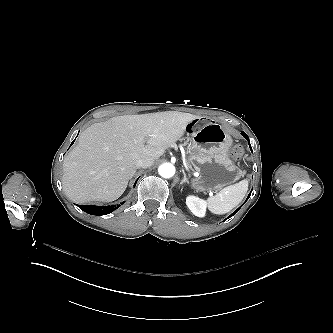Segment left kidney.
<instances>
[{
    "label": "left kidney",
    "instance_id": "5707ae66",
    "mask_svg": "<svg viewBox=\"0 0 333 333\" xmlns=\"http://www.w3.org/2000/svg\"><path fill=\"white\" fill-rule=\"evenodd\" d=\"M187 206L196 216L202 217L205 213V202L194 196L187 198Z\"/></svg>",
    "mask_w": 333,
    "mask_h": 333
}]
</instances>
